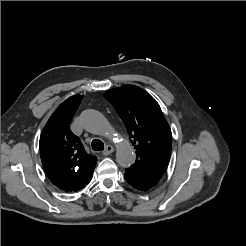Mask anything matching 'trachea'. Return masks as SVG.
<instances>
[{"label": "trachea", "mask_w": 246, "mask_h": 246, "mask_svg": "<svg viewBox=\"0 0 246 246\" xmlns=\"http://www.w3.org/2000/svg\"><path fill=\"white\" fill-rule=\"evenodd\" d=\"M91 146L94 151H102L104 149V144L99 139H93L91 142Z\"/></svg>", "instance_id": "trachea-1"}]
</instances>
